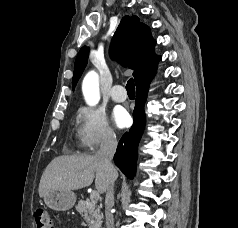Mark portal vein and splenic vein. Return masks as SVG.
<instances>
[{"mask_svg": "<svg viewBox=\"0 0 238 228\" xmlns=\"http://www.w3.org/2000/svg\"><path fill=\"white\" fill-rule=\"evenodd\" d=\"M99 197H100V195H99V193L97 191H92L90 193V199H92V200H98Z\"/></svg>", "mask_w": 238, "mask_h": 228, "instance_id": "1", "label": "portal vein and splenic vein"}]
</instances>
